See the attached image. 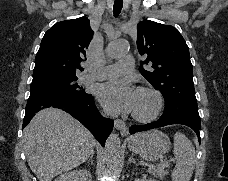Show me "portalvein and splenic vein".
<instances>
[{
  "mask_svg": "<svg viewBox=\"0 0 228 181\" xmlns=\"http://www.w3.org/2000/svg\"><path fill=\"white\" fill-rule=\"evenodd\" d=\"M171 161H173V159H171ZM162 163H163V165L161 164H156V165H151V166H145L144 167V170L147 172L148 170H149V174H154V170H156V169H162L163 167L165 168V167H169V165H168V163H165V161H162Z\"/></svg>",
  "mask_w": 228,
  "mask_h": 181,
  "instance_id": "obj_1",
  "label": "portal vein and splenic vein"
}]
</instances>
